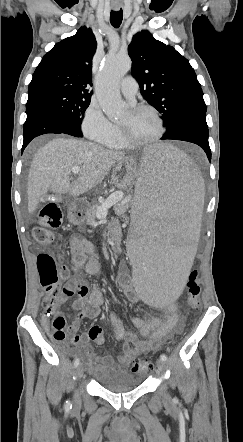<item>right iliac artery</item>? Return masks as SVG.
I'll use <instances>...</instances> for the list:
<instances>
[{"instance_id":"obj_1","label":"right iliac artery","mask_w":243,"mask_h":442,"mask_svg":"<svg viewBox=\"0 0 243 442\" xmlns=\"http://www.w3.org/2000/svg\"><path fill=\"white\" fill-rule=\"evenodd\" d=\"M79 363H80L79 359L76 358L75 361H74V366L77 367L79 365ZM71 408H72V405H71L70 401L67 400L66 403H65V409L69 410Z\"/></svg>"}]
</instances>
